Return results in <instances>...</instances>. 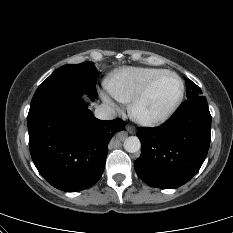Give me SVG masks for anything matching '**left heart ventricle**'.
Returning a JSON list of instances; mask_svg holds the SVG:
<instances>
[{
	"label": "left heart ventricle",
	"mask_w": 233,
	"mask_h": 233,
	"mask_svg": "<svg viewBox=\"0 0 233 233\" xmlns=\"http://www.w3.org/2000/svg\"><path fill=\"white\" fill-rule=\"evenodd\" d=\"M178 94V80L171 75L161 77L140 104L139 114L144 117L160 115L174 102Z\"/></svg>",
	"instance_id": "left-heart-ventricle-1"
}]
</instances>
